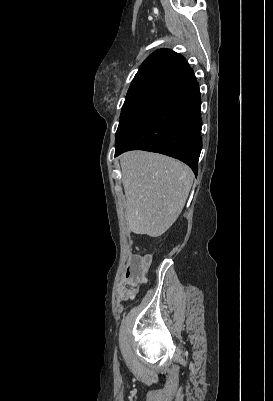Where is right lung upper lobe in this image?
I'll use <instances>...</instances> for the list:
<instances>
[{"instance_id":"cb5924a9","label":"right lung upper lobe","mask_w":273,"mask_h":401,"mask_svg":"<svg viewBox=\"0 0 273 401\" xmlns=\"http://www.w3.org/2000/svg\"><path fill=\"white\" fill-rule=\"evenodd\" d=\"M196 80L186 59L169 49L153 52L136 73L127 96L158 94L171 96Z\"/></svg>"}]
</instances>
